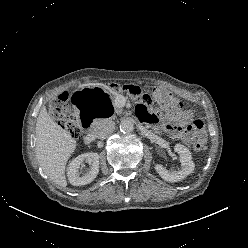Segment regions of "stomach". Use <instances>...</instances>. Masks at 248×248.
I'll return each instance as SVG.
<instances>
[{
    "label": "stomach",
    "mask_w": 248,
    "mask_h": 248,
    "mask_svg": "<svg viewBox=\"0 0 248 248\" xmlns=\"http://www.w3.org/2000/svg\"><path fill=\"white\" fill-rule=\"evenodd\" d=\"M70 104L80 116L108 120L116 112V103L110 90L104 86L78 87L70 95Z\"/></svg>",
    "instance_id": "0dacf381"
}]
</instances>
